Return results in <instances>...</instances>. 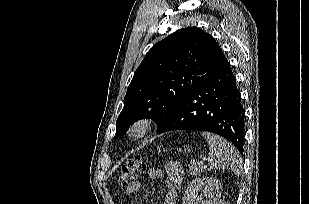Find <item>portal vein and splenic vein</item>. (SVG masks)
Wrapping results in <instances>:
<instances>
[{"label":"portal vein and splenic vein","mask_w":309,"mask_h":204,"mask_svg":"<svg viewBox=\"0 0 309 204\" xmlns=\"http://www.w3.org/2000/svg\"><path fill=\"white\" fill-rule=\"evenodd\" d=\"M200 165H201L203 168H206V166L203 165V162H202V161L200 162Z\"/></svg>","instance_id":"1"}]
</instances>
